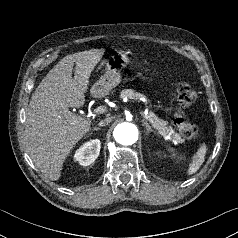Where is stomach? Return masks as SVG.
Returning <instances> with one entry per match:
<instances>
[{
    "instance_id": "1",
    "label": "stomach",
    "mask_w": 238,
    "mask_h": 238,
    "mask_svg": "<svg viewBox=\"0 0 238 238\" xmlns=\"http://www.w3.org/2000/svg\"><path fill=\"white\" fill-rule=\"evenodd\" d=\"M129 58L125 53H117L106 61L105 74L94 83L91 94L95 97L108 94L121 82L122 71L128 65Z\"/></svg>"
}]
</instances>
